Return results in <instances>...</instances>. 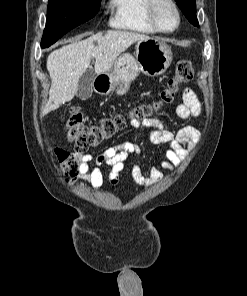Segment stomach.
I'll list each match as a JSON object with an SVG mask.
<instances>
[{"label":"stomach","instance_id":"1","mask_svg":"<svg viewBox=\"0 0 247 296\" xmlns=\"http://www.w3.org/2000/svg\"><path fill=\"white\" fill-rule=\"evenodd\" d=\"M135 49V57L129 53L122 54L108 71L97 75L96 92L109 94L116 91L123 95L140 72L150 77L159 76L172 62L171 47L161 39L138 41Z\"/></svg>","mask_w":247,"mask_h":296}]
</instances>
